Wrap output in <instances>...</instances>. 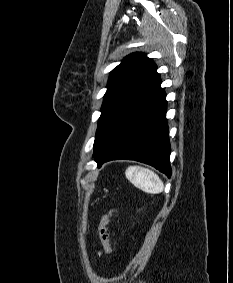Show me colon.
<instances>
[{"mask_svg":"<svg viewBox=\"0 0 233 283\" xmlns=\"http://www.w3.org/2000/svg\"><path fill=\"white\" fill-rule=\"evenodd\" d=\"M117 213V209H111L109 212L104 214L99 222L98 225V233H99V238L102 243V246L105 250V252L108 255L113 254V247L110 241L109 233H108V224L110 222V219L112 218L113 215Z\"/></svg>","mask_w":233,"mask_h":283,"instance_id":"5ec220e1","label":"colon"}]
</instances>
